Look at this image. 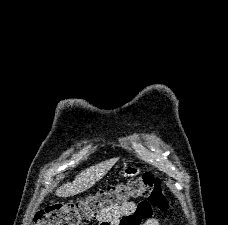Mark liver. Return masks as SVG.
<instances>
[{"mask_svg":"<svg viewBox=\"0 0 228 225\" xmlns=\"http://www.w3.org/2000/svg\"><path fill=\"white\" fill-rule=\"evenodd\" d=\"M118 159L119 157H117V159H109V161H103V163H98V165H94V167L85 169V171L76 175L72 183H66V185L58 187L55 195H57V197H73V195H79V193L88 191L97 181L103 179L104 175L112 169Z\"/></svg>","mask_w":228,"mask_h":225,"instance_id":"liver-1","label":"liver"}]
</instances>
